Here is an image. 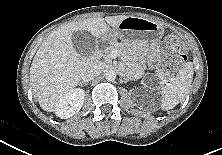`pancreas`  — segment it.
Wrapping results in <instances>:
<instances>
[{
	"mask_svg": "<svg viewBox=\"0 0 222 155\" xmlns=\"http://www.w3.org/2000/svg\"><path fill=\"white\" fill-rule=\"evenodd\" d=\"M120 49H121V45L116 43L104 50L99 51L98 57L104 59L105 63L110 64L112 63L111 53L113 51H120ZM121 53H123L122 50H121ZM124 58H125V61L127 62V66H128L127 75L129 77H135L138 74L142 73V71L144 70V67L140 63L136 62V60L132 56V53L130 52L124 53ZM156 75L161 79L165 77V74L162 69H157Z\"/></svg>",
	"mask_w": 222,
	"mask_h": 155,
	"instance_id": "cf45deb5",
	"label": "pancreas"
}]
</instances>
